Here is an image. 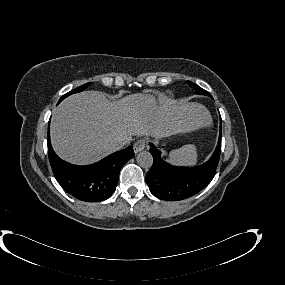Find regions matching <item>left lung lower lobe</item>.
Instances as JSON below:
<instances>
[{"label": "left lung lower lobe", "instance_id": "obj_1", "mask_svg": "<svg viewBox=\"0 0 285 285\" xmlns=\"http://www.w3.org/2000/svg\"><path fill=\"white\" fill-rule=\"evenodd\" d=\"M221 121L217 147L211 158L203 165L193 168H176L161 160V152L151 144L153 165L146 175V182L153 195L168 201L189 198L213 179L221 152Z\"/></svg>", "mask_w": 285, "mask_h": 285}]
</instances>
